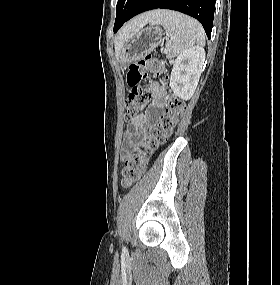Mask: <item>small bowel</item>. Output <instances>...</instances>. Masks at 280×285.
I'll list each match as a JSON object with an SVG mask.
<instances>
[{"mask_svg":"<svg viewBox=\"0 0 280 285\" xmlns=\"http://www.w3.org/2000/svg\"><path fill=\"white\" fill-rule=\"evenodd\" d=\"M151 86L154 100L152 106L157 109H162L166 101L165 89L158 82H153ZM149 117L148 111H140L132 117L123 141L121 152L122 159H127L132 153V150L141 143L142 138L148 129Z\"/></svg>","mask_w":280,"mask_h":285,"instance_id":"c3829d8e","label":"small bowel"}]
</instances>
